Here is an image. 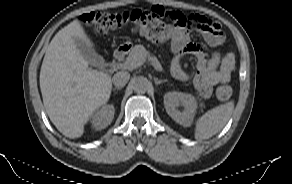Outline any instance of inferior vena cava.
<instances>
[{
	"instance_id": "inferior-vena-cava-1",
	"label": "inferior vena cava",
	"mask_w": 292,
	"mask_h": 184,
	"mask_svg": "<svg viewBox=\"0 0 292 184\" xmlns=\"http://www.w3.org/2000/svg\"><path fill=\"white\" fill-rule=\"evenodd\" d=\"M130 79V74L127 71H119L114 74L112 82L116 87H124Z\"/></svg>"
}]
</instances>
